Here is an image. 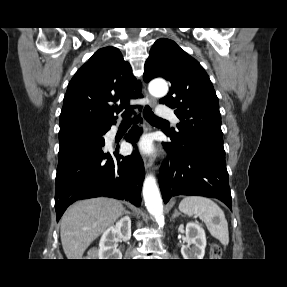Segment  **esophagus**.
Returning <instances> with one entry per match:
<instances>
[{
    "label": "esophagus",
    "instance_id": "1",
    "mask_svg": "<svg viewBox=\"0 0 287 287\" xmlns=\"http://www.w3.org/2000/svg\"><path fill=\"white\" fill-rule=\"evenodd\" d=\"M144 91L146 92L145 87H144ZM148 98H149V105L151 107H154L156 105V100L149 95H148ZM147 130H150V128H147ZM144 166H145V169L147 171H151L152 166H153V159L152 158H150V159L144 158Z\"/></svg>",
    "mask_w": 287,
    "mask_h": 287
}]
</instances>
